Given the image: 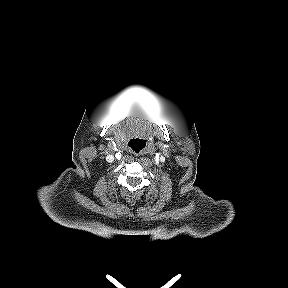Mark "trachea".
Segmentation results:
<instances>
[{"mask_svg":"<svg viewBox=\"0 0 288 288\" xmlns=\"http://www.w3.org/2000/svg\"><path fill=\"white\" fill-rule=\"evenodd\" d=\"M146 141L144 139L133 137L128 142V147L135 154L142 153L146 148Z\"/></svg>","mask_w":288,"mask_h":288,"instance_id":"3493384b","label":"trachea"}]
</instances>
